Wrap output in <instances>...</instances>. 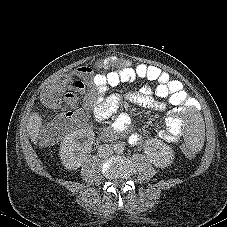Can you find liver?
<instances>
[{
    "mask_svg": "<svg viewBox=\"0 0 227 227\" xmlns=\"http://www.w3.org/2000/svg\"><path fill=\"white\" fill-rule=\"evenodd\" d=\"M42 124V118L38 115V113H32L28 120V134L35 144L37 143V137L39 135L40 126Z\"/></svg>",
    "mask_w": 227,
    "mask_h": 227,
    "instance_id": "liver-1",
    "label": "liver"
}]
</instances>
